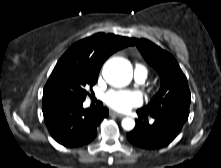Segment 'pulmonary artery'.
Here are the masks:
<instances>
[{
	"label": "pulmonary artery",
	"mask_w": 221,
	"mask_h": 168,
	"mask_svg": "<svg viewBox=\"0 0 221 168\" xmlns=\"http://www.w3.org/2000/svg\"><path fill=\"white\" fill-rule=\"evenodd\" d=\"M134 78L138 83H144L147 78V71L145 68L136 66L134 71Z\"/></svg>",
	"instance_id": "pulmonary-artery-1"
}]
</instances>
